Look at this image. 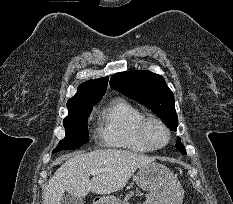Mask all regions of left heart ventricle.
I'll use <instances>...</instances> for the list:
<instances>
[{
    "label": "left heart ventricle",
    "mask_w": 233,
    "mask_h": 204,
    "mask_svg": "<svg viewBox=\"0 0 233 204\" xmlns=\"http://www.w3.org/2000/svg\"><path fill=\"white\" fill-rule=\"evenodd\" d=\"M148 133L151 140L157 145H161L166 141V134L164 130L155 123H151L149 125Z\"/></svg>",
    "instance_id": "obj_1"
}]
</instances>
